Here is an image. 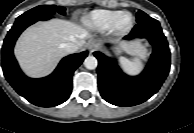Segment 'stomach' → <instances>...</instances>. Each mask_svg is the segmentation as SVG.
<instances>
[{
    "label": "stomach",
    "mask_w": 194,
    "mask_h": 133,
    "mask_svg": "<svg viewBox=\"0 0 194 133\" xmlns=\"http://www.w3.org/2000/svg\"><path fill=\"white\" fill-rule=\"evenodd\" d=\"M122 49H123V47L120 46V47H117L115 50H116L117 53H120L122 51Z\"/></svg>",
    "instance_id": "0dacf381"
}]
</instances>
